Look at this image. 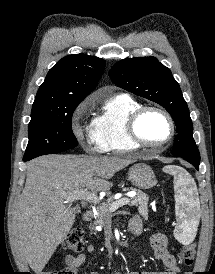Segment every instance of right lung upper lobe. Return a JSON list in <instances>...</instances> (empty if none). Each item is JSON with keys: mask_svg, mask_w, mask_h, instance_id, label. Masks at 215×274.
<instances>
[{"mask_svg": "<svg viewBox=\"0 0 215 274\" xmlns=\"http://www.w3.org/2000/svg\"><path fill=\"white\" fill-rule=\"evenodd\" d=\"M104 68L105 61L95 56H65L49 70L34 103L81 102L96 87Z\"/></svg>", "mask_w": 215, "mask_h": 274, "instance_id": "cb5924a9", "label": "right lung upper lobe"}]
</instances>
